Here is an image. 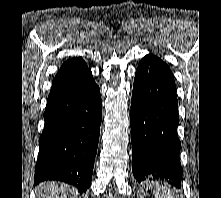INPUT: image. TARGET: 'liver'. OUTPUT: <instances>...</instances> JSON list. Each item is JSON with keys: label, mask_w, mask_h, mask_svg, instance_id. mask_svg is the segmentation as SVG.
<instances>
[{"label": "liver", "mask_w": 221, "mask_h": 198, "mask_svg": "<svg viewBox=\"0 0 221 198\" xmlns=\"http://www.w3.org/2000/svg\"><path fill=\"white\" fill-rule=\"evenodd\" d=\"M71 188L58 182H43L37 187V198H70Z\"/></svg>", "instance_id": "obj_1"}]
</instances>
